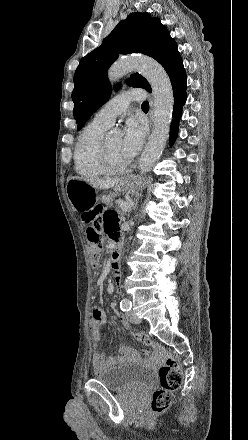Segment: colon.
Segmentation results:
<instances>
[{
	"label": "colon",
	"instance_id": "colon-1",
	"mask_svg": "<svg viewBox=\"0 0 248 440\" xmlns=\"http://www.w3.org/2000/svg\"><path fill=\"white\" fill-rule=\"evenodd\" d=\"M82 218L89 225L87 238L92 246L90 258L92 264L96 265L99 260V248L102 244L101 229L104 226L101 207L91 206L84 212ZM131 334L139 343L165 356V361L158 370L160 388L153 393L151 401V411L157 414L163 413L170 407L173 393L180 388L183 382L180 364L161 344L152 340L146 334L142 332H132Z\"/></svg>",
	"mask_w": 248,
	"mask_h": 440
}]
</instances>
